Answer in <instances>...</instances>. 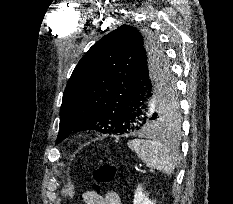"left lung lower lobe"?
I'll return each mask as SVG.
<instances>
[{
	"label": "left lung lower lobe",
	"mask_w": 233,
	"mask_h": 204,
	"mask_svg": "<svg viewBox=\"0 0 233 204\" xmlns=\"http://www.w3.org/2000/svg\"><path fill=\"white\" fill-rule=\"evenodd\" d=\"M170 67L161 54L142 53L129 84L120 100L115 123L124 134L134 131H157L154 112L159 96L173 82Z\"/></svg>",
	"instance_id": "1"
}]
</instances>
